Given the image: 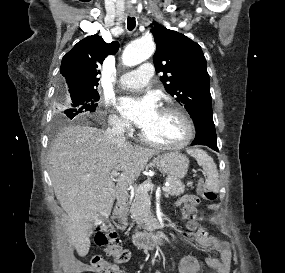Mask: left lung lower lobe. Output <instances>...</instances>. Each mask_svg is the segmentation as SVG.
Wrapping results in <instances>:
<instances>
[{
	"label": "left lung lower lobe",
	"instance_id": "obj_1",
	"mask_svg": "<svg viewBox=\"0 0 285 273\" xmlns=\"http://www.w3.org/2000/svg\"><path fill=\"white\" fill-rule=\"evenodd\" d=\"M193 122L196 128V138L192 142V145H206L218 151L213 114L204 113L196 115L193 118Z\"/></svg>",
	"mask_w": 285,
	"mask_h": 273
}]
</instances>
